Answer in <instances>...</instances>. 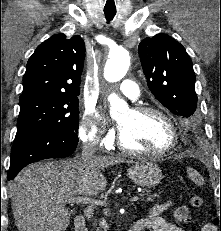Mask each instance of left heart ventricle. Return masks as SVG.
<instances>
[{
	"mask_svg": "<svg viewBox=\"0 0 221 231\" xmlns=\"http://www.w3.org/2000/svg\"><path fill=\"white\" fill-rule=\"evenodd\" d=\"M118 123L124 143L134 149L159 151L171 144L172 132L166 120L156 114L124 112Z\"/></svg>",
	"mask_w": 221,
	"mask_h": 231,
	"instance_id": "left-heart-ventricle-1",
	"label": "left heart ventricle"
}]
</instances>
